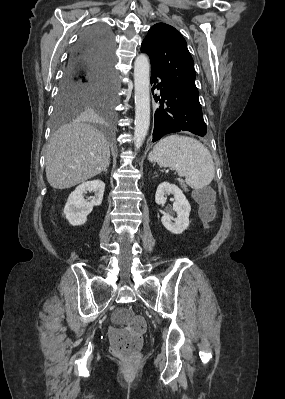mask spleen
Instances as JSON below:
<instances>
[{"mask_svg":"<svg viewBox=\"0 0 285 399\" xmlns=\"http://www.w3.org/2000/svg\"><path fill=\"white\" fill-rule=\"evenodd\" d=\"M153 156L159 166L169 167L185 177L186 183L193 189L206 187L215 177L210 151L194 138L169 135L154 146Z\"/></svg>","mask_w":285,"mask_h":399,"instance_id":"1","label":"spleen"}]
</instances>
